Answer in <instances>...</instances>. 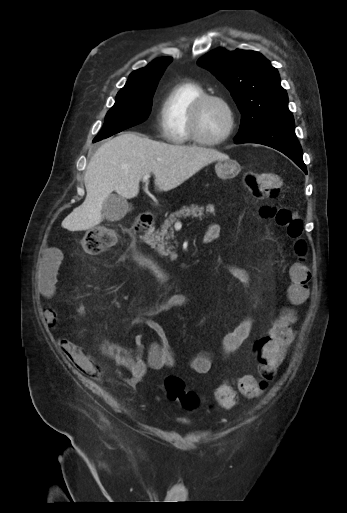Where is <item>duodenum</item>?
<instances>
[{
	"instance_id": "410a0bca",
	"label": "duodenum",
	"mask_w": 347,
	"mask_h": 513,
	"mask_svg": "<svg viewBox=\"0 0 347 513\" xmlns=\"http://www.w3.org/2000/svg\"><path fill=\"white\" fill-rule=\"evenodd\" d=\"M154 218V212L147 211L140 214L133 222L129 230V235L131 238L129 254L131 256L152 259V257L146 251V246L149 244L151 239L149 230L154 221ZM215 238L216 236L214 234H206L204 241L206 243L212 242L215 240Z\"/></svg>"
}]
</instances>
